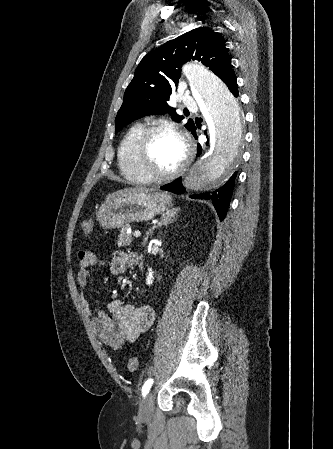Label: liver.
<instances>
[{
  "label": "liver",
  "mask_w": 333,
  "mask_h": 449,
  "mask_svg": "<svg viewBox=\"0 0 333 449\" xmlns=\"http://www.w3.org/2000/svg\"><path fill=\"white\" fill-rule=\"evenodd\" d=\"M130 192H147V191H145V190H143V189H124V190H118V191H116V192H113V193L109 194V195L106 197V200H109V199H112V198H116V197H119V196H121V195H123V194H125V193H130Z\"/></svg>",
  "instance_id": "liver-1"
}]
</instances>
